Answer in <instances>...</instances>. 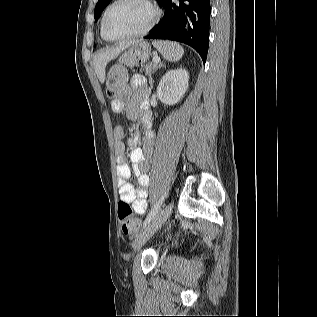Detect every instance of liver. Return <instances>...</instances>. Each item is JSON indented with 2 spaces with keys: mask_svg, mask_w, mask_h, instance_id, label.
I'll return each instance as SVG.
<instances>
[{
  "mask_svg": "<svg viewBox=\"0 0 317 317\" xmlns=\"http://www.w3.org/2000/svg\"><path fill=\"white\" fill-rule=\"evenodd\" d=\"M134 42L121 43L115 47L101 50L93 59V65L96 75L101 83L105 81L106 66L107 64L115 59L123 50L128 48Z\"/></svg>",
  "mask_w": 317,
  "mask_h": 317,
  "instance_id": "liver-1",
  "label": "liver"
}]
</instances>
